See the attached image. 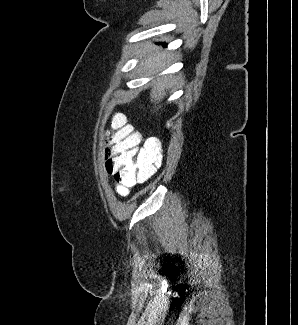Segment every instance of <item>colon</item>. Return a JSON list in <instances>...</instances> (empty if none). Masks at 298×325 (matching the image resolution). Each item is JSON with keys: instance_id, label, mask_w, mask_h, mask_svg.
<instances>
[{"instance_id": "obj_1", "label": "colon", "mask_w": 298, "mask_h": 325, "mask_svg": "<svg viewBox=\"0 0 298 325\" xmlns=\"http://www.w3.org/2000/svg\"><path fill=\"white\" fill-rule=\"evenodd\" d=\"M140 144V134L126 123L123 115L115 114L105 146V167L115 182L127 187L143 183L160 167V155L151 145Z\"/></svg>"}]
</instances>
